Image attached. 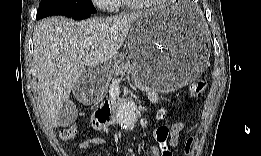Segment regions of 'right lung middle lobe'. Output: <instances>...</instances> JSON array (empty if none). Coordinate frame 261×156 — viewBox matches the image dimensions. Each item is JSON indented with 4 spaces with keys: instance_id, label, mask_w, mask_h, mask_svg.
<instances>
[{
    "instance_id": "1",
    "label": "right lung middle lobe",
    "mask_w": 261,
    "mask_h": 156,
    "mask_svg": "<svg viewBox=\"0 0 261 156\" xmlns=\"http://www.w3.org/2000/svg\"><path fill=\"white\" fill-rule=\"evenodd\" d=\"M96 13L91 0H42L37 12V19L49 15L73 17L77 14Z\"/></svg>"
}]
</instances>
